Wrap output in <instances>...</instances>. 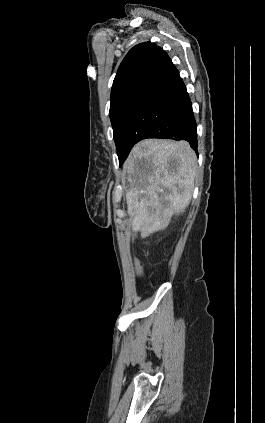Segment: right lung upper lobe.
<instances>
[{"label": "right lung upper lobe", "instance_id": "obj_1", "mask_svg": "<svg viewBox=\"0 0 265 423\" xmlns=\"http://www.w3.org/2000/svg\"><path fill=\"white\" fill-rule=\"evenodd\" d=\"M171 66L172 61L162 48L151 42L136 45L118 68L111 90V104L133 93H149Z\"/></svg>", "mask_w": 265, "mask_h": 423}]
</instances>
